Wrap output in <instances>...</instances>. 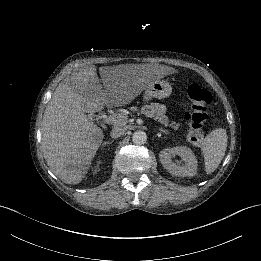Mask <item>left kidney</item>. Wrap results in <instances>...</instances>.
I'll return each instance as SVG.
<instances>
[{
  "instance_id": "1",
  "label": "left kidney",
  "mask_w": 261,
  "mask_h": 261,
  "mask_svg": "<svg viewBox=\"0 0 261 261\" xmlns=\"http://www.w3.org/2000/svg\"><path fill=\"white\" fill-rule=\"evenodd\" d=\"M181 157L184 165H176L172 156ZM159 160L163 167L175 177H193L197 172V161L192 152L186 147L166 148L160 151Z\"/></svg>"
}]
</instances>
